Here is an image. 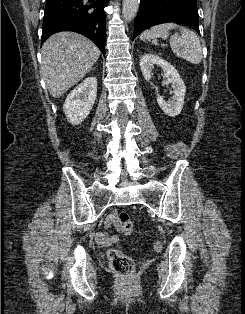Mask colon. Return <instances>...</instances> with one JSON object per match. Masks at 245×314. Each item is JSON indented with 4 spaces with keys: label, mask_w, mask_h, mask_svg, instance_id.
<instances>
[{
    "label": "colon",
    "mask_w": 245,
    "mask_h": 314,
    "mask_svg": "<svg viewBox=\"0 0 245 314\" xmlns=\"http://www.w3.org/2000/svg\"><path fill=\"white\" fill-rule=\"evenodd\" d=\"M116 220L119 224L121 231L125 235L132 234L133 223L128 213L126 212L118 213V215L116 216ZM152 247H153V250L160 251L163 247V244L161 241H155ZM108 258H109L112 269L116 273H118L119 275L125 278L132 277L135 270V265H134L133 260L129 256L122 253L118 249L112 248L108 252Z\"/></svg>",
    "instance_id": "1"
}]
</instances>
